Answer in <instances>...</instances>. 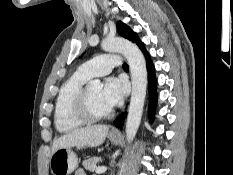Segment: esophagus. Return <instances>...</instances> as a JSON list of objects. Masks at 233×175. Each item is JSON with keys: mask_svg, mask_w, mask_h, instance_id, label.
<instances>
[{"mask_svg": "<svg viewBox=\"0 0 233 175\" xmlns=\"http://www.w3.org/2000/svg\"><path fill=\"white\" fill-rule=\"evenodd\" d=\"M111 133H112V134H118V131L115 130V129H113V130L111 131Z\"/></svg>", "mask_w": 233, "mask_h": 175, "instance_id": "obj_1", "label": "esophagus"}]
</instances>
